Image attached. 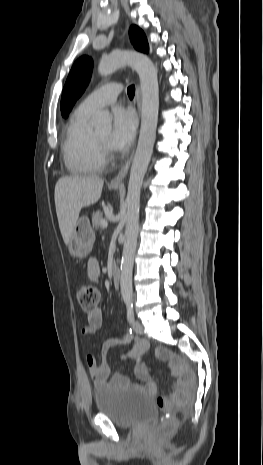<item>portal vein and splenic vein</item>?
Masks as SVG:
<instances>
[{
    "label": "portal vein and splenic vein",
    "instance_id": "obj_1",
    "mask_svg": "<svg viewBox=\"0 0 263 465\" xmlns=\"http://www.w3.org/2000/svg\"><path fill=\"white\" fill-rule=\"evenodd\" d=\"M101 226H102V228H107V226H108L107 220L103 219V220L101 221Z\"/></svg>",
    "mask_w": 263,
    "mask_h": 465
}]
</instances>
